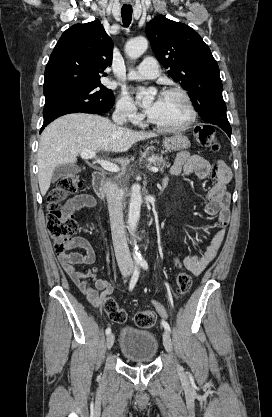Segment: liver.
<instances>
[{
    "instance_id": "1",
    "label": "liver",
    "mask_w": 272,
    "mask_h": 417,
    "mask_svg": "<svg viewBox=\"0 0 272 417\" xmlns=\"http://www.w3.org/2000/svg\"><path fill=\"white\" fill-rule=\"evenodd\" d=\"M156 135L133 131L92 114H69L56 119L44 129L37 153L41 194L48 191L56 166L74 164L82 151L125 152L136 142Z\"/></svg>"
}]
</instances>
